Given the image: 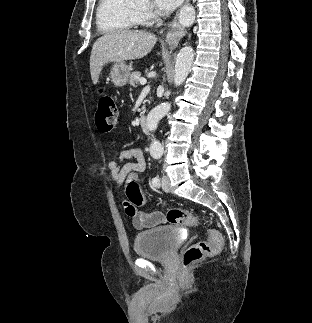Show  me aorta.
Listing matches in <instances>:
<instances>
[{
	"label": "aorta",
	"instance_id": "obj_1",
	"mask_svg": "<svg viewBox=\"0 0 312 323\" xmlns=\"http://www.w3.org/2000/svg\"><path fill=\"white\" fill-rule=\"evenodd\" d=\"M194 50L193 48H190V46H185V48H182L180 50L177 58H176V64H175V72H174V84L175 86H181L183 82H185L191 68V64L194 60ZM171 110V104H168V102H165V104H161V106H157V108H154L152 112H149L146 120V128L149 130V132H154V130H157L158 124L167 114V112H170ZM150 152H153V154H162L163 148L160 144V142H157V140H153L150 144Z\"/></svg>",
	"mask_w": 312,
	"mask_h": 323
}]
</instances>
